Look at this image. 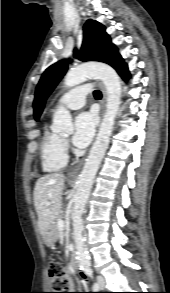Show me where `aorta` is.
<instances>
[{
    "mask_svg": "<svg viewBox=\"0 0 170 293\" xmlns=\"http://www.w3.org/2000/svg\"><path fill=\"white\" fill-rule=\"evenodd\" d=\"M89 77H96L104 83L107 92V105L98 135L79 175L78 188L74 199L72 213L73 235L77 260L81 268L90 266V260L85 250L82 215L85 212L95 175L108 148L114 121L120 108L122 94L118 74L111 66L104 63H88L68 71L64 78V85L67 88L73 87L84 82ZM52 130L66 134L73 132L72 117L66 108L59 107L57 109L53 117Z\"/></svg>",
    "mask_w": 170,
    "mask_h": 293,
    "instance_id": "aorta-1",
    "label": "aorta"
}]
</instances>
